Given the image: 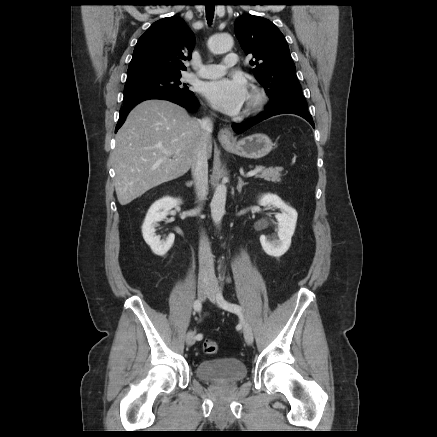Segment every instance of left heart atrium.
Here are the masks:
<instances>
[{"instance_id":"left-heart-atrium-1","label":"left heart atrium","mask_w":437,"mask_h":437,"mask_svg":"<svg viewBox=\"0 0 437 437\" xmlns=\"http://www.w3.org/2000/svg\"><path fill=\"white\" fill-rule=\"evenodd\" d=\"M202 93L216 108L229 115L239 114L249 97L247 83L242 78L206 82Z\"/></svg>"}]
</instances>
